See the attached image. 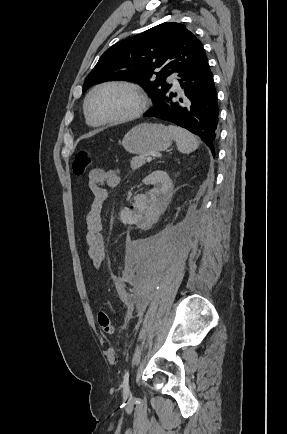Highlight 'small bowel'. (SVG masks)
Masks as SVG:
<instances>
[{
	"mask_svg": "<svg viewBox=\"0 0 287 434\" xmlns=\"http://www.w3.org/2000/svg\"><path fill=\"white\" fill-rule=\"evenodd\" d=\"M119 183L120 174L115 169L94 168L88 175V187L92 194V201L85 218V247L96 268L101 266L105 257L102 209L108 196L106 187L115 188Z\"/></svg>",
	"mask_w": 287,
	"mask_h": 434,
	"instance_id": "obj_1",
	"label": "small bowel"
}]
</instances>
